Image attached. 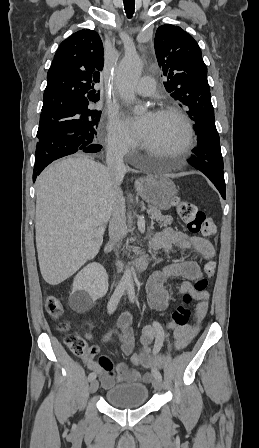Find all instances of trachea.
<instances>
[{
    "mask_svg": "<svg viewBox=\"0 0 259 448\" xmlns=\"http://www.w3.org/2000/svg\"><path fill=\"white\" fill-rule=\"evenodd\" d=\"M124 2V9L127 13V16L130 18L132 17L134 10H135V0H123Z\"/></svg>",
    "mask_w": 259,
    "mask_h": 448,
    "instance_id": "trachea-1",
    "label": "trachea"
}]
</instances>
